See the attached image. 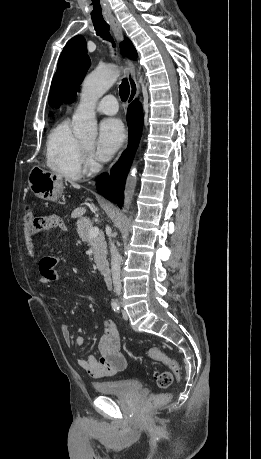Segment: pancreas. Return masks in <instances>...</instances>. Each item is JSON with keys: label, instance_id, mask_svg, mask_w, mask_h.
<instances>
[{"label": "pancreas", "instance_id": "pancreas-1", "mask_svg": "<svg viewBox=\"0 0 261 459\" xmlns=\"http://www.w3.org/2000/svg\"><path fill=\"white\" fill-rule=\"evenodd\" d=\"M77 233L81 240L92 245L94 261L98 267L106 262L107 246L103 232H100L95 238L89 237V231L93 227V222L88 218H80L77 223Z\"/></svg>", "mask_w": 261, "mask_h": 459}]
</instances>
